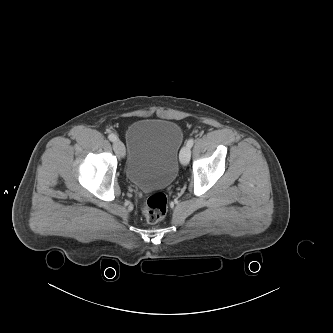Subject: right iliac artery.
Wrapping results in <instances>:
<instances>
[{"label": "right iliac artery", "instance_id": "right-iliac-artery-1", "mask_svg": "<svg viewBox=\"0 0 333 333\" xmlns=\"http://www.w3.org/2000/svg\"><path fill=\"white\" fill-rule=\"evenodd\" d=\"M108 138L110 141H116L117 140V136L115 134H109Z\"/></svg>", "mask_w": 333, "mask_h": 333}]
</instances>
